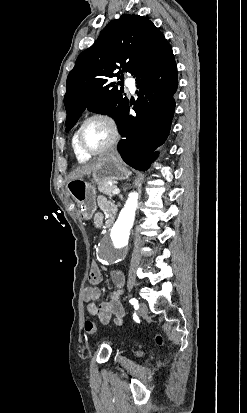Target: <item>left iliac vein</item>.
<instances>
[{
    "mask_svg": "<svg viewBox=\"0 0 247 413\" xmlns=\"http://www.w3.org/2000/svg\"><path fill=\"white\" fill-rule=\"evenodd\" d=\"M148 311L147 309V305L145 302H140L139 304V314L140 316H143L144 314H146Z\"/></svg>",
    "mask_w": 247,
    "mask_h": 413,
    "instance_id": "4c4485c4",
    "label": "left iliac vein"
}]
</instances>
